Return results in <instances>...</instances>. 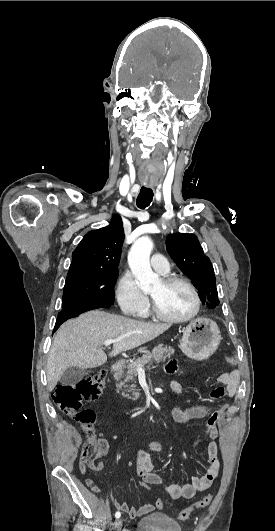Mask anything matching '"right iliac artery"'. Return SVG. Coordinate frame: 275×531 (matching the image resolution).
I'll use <instances>...</instances> for the list:
<instances>
[{"mask_svg": "<svg viewBox=\"0 0 275 531\" xmlns=\"http://www.w3.org/2000/svg\"><path fill=\"white\" fill-rule=\"evenodd\" d=\"M120 516H121V513H120V512H116V513H115V517H116V518H119Z\"/></svg>", "mask_w": 275, "mask_h": 531, "instance_id": "82829eb1", "label": "right iliac artery"}]
</instances>
